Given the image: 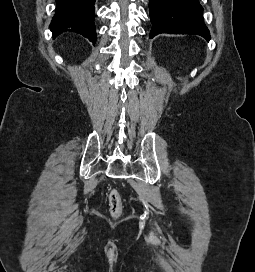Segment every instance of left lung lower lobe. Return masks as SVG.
Returning a JSON list of instances; mask_svg holds the SVG:
<instances>
[{"instance_id":"left-lung-lower-lobe-1","label":"left lung lower lobe","mask_w":255,"mask_h":272,"mask_svg":"<svg viewBox=\"0 0 255 272\" xmlns=\"http://www.w3.org/2000/svg\"><path fill=\"white\" fill-rule=\"evenodd\" d=\"M153 24L150 38L161 34H194L209 41V30L203 21V8L198 0H149Z\"/></svg>"}]
</instances>
